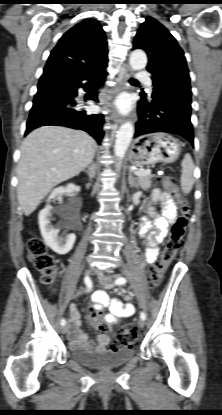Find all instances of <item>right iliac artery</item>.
<instances>
[{
	"instance_id": "right-iliac-artery-1",
	"label": "right iliac artery",
	"mask_w": 222,
	"mask_h": 415,
	"mask_svg": "<svg viewBox=\"0 0 222 415\" xmlns=\"http://www.w3.org/2000/svg\"><path fill=\"white\" fill-rule=\"evenodd\" d=\"M84 281H85V284L87 286V289L90 290L92 288V281H91V279L88 276H86L85 279H84ZM65 324H66V320L65 319H62L61 320V325L64 326Z\"/></svg>"
}]
</instances>
